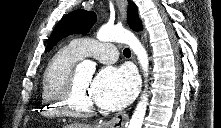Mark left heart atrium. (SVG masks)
Returning a JSON list of instances; mask_svg holds the SVG:
<instances>
[{
  "instance_id": "left-heart-atrium-1",
  "label": "left heart atrium",
  "mask_w": 221,
  "mask_h": 128,
  "mask_svg": "<svg viewBox=\"0 0 221 128\" xmlns=\"http://www.w3.org/2000/svg\"><path fill=\"white\" fill-rule=\"evenodd\" d=\"M139 82L126 68L105 67L89 87V96L101 109L114 111L128 105L136 96Z\"/></svg>"
}]
</instances>
